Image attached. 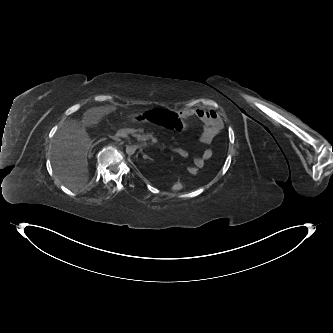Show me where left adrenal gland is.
I'll list each match as a JSON object with an SVG mask.
<instances>
[{
  "instance_id": "obj_1",
  "label": "left adrenal gland",
  "mask_w": 333,
  "mask_h": 333,
  "mask_svg": "<svg viewBox=\"0 0 333 333\" xmlns=\"http://www.w3.org/2000/svg\"><path fill=\"white\" fill-rule=\"evenodd\" d=\"M143 158H144V159H150V160H152L149 156H147V155H145V154L143 155Z\"/></svg>"
}]
</instances>
